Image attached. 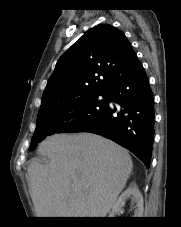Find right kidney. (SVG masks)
I'll list each match as a JSON object with an SVG mask.
<instances>
[{
    "label": "right kidney",
    "instance_id": "obj_1",
    "mask_svg": "<svg viewBox=\"0 0 181 227\" xmlns=\"http://www.w3.org/2000/svg\"><path fill=\"white\" fill-rule=\"evenodd\" d=\"M128 198L135 204L134 207V217L143 216V196L135 184H131L118 198L117 202L113 205L110 217H115V214L120 212L125 205Z\"/></svg>",
    "mask_w": 181,
    "mask_h": 227
}]
</instances>
